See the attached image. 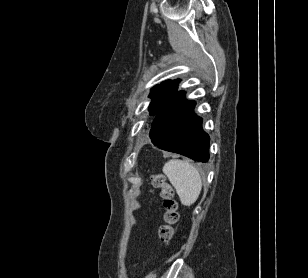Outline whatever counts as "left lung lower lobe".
<instances>
[{"mask_svg":"<svg viewBox=\"0 0 308 278\" xmlns=\"http://www.w3.org/2000/svg\"><path fill=\"white\" fill-rule=\"evenodd\" d=\"M179 91L156 115L150 130L152 143L160 149L185 155L195 161L209 159V136L202 119L193 114L194 101Z\"/></svg>","mask_w":308,"mask_h":278,"instance_id":"0a47b994","label":"left lung lower lobe"}]
</instances>
